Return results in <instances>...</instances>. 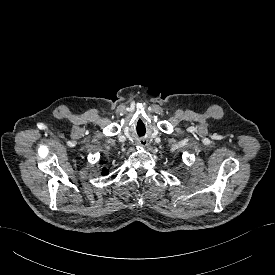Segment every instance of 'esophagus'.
<instances>
[{
  "instance_id": "esophagus-1",
  "label": "esophagus",
  "mask_w": 275,
  "mask_h": 275,
  "mask_svg": "<svg viewBox=\"0 0 275 275\" xmlns=\"http://www.w3.org/2000/svg\"><path fill=\"white\" fill-rule=\"evenodd\" d=\"M142 146H145L146 144H141Z\"/></svg>"
}]
</instances>
